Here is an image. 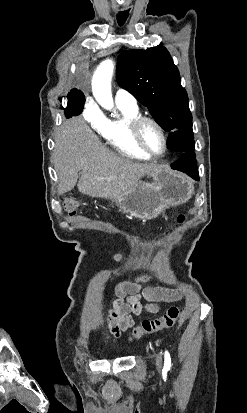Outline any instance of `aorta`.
I'll return each mask as SVG.
<instances>
[{"label":"aorta","mask_w":247,"mask_h":413,"mask_svg":"<svg viewBox=\"0 0 247 413\" xmlns=\"http://www.w3.org/2000/svg\"><path fill=\"white\" fill-rule=\"evenodd\" d=\"M114 71V62L110 59L103 61L94 73L92 91L97 102L105 109L114 107L111 92V80Z\"/></svg>","instance_id":"aorta-1"}]
</instances>
